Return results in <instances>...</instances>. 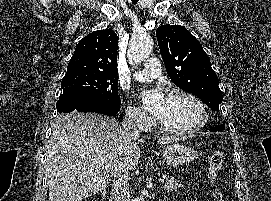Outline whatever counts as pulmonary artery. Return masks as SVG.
Instances as JSON below:
<instances>
[{"mask_svg":"<svg viewBox=\"0 0 271 201\" xmlns=\"http://www.w3.org/2000/svg\"><path fill=\"white\" fill-rule=\"evenodd\" d=\"M161 75V66L157 58H149L145 63L144 69L133 72L132 77L137 81H150Z\"/></svg>","mask_w":271,"mask_h":201,"instance_id":"obj_1","label":"pulmonary artery"}]
</instances>
